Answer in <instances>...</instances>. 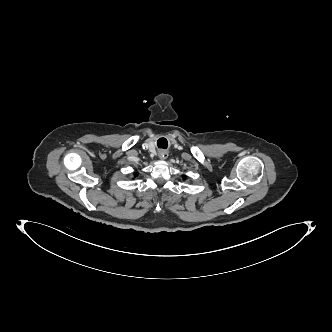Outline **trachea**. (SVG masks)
<instances>
[{
  "label": "trachea",
  "mask_w": 332,
  "mask_h": 332,
  "mask_svg": "<svg viewBox=\"0 0 332 332\" xmlns=\"http://www.w3.org/2000/svg\"><path fill=\"white\" fill-rule=\"evenodd\" d=\"M162 139H164V138H162ZM162 139H159V140H158V147H159V148H166V147H167V145H166V144H167V141H166V143H164V146H161V145H160V142H161Z\"/></svg>",
  "instance_id": "obj_1"
}]
</instances>
